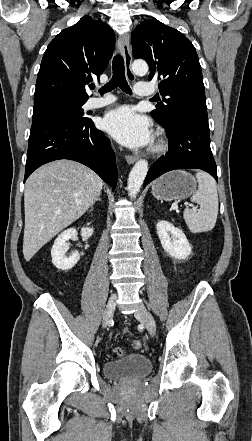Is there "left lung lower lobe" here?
Wrapping results in <instances>:
<instances>
[{
	"label": "left lung lower lobe",
	"mask_w": 252,
	"mask_h": 441,
	"mask_svg": "<svg viewBox=\"0 0 252 441\" xmlns=\"http://www.w3.org/2000/svg\"><path fill=\"white\" fill-rule=\"evenodd\" d=\"M169 150L149 169L144 186L175 169H201L217 181V167L210 148L208 117L189 112L179 115L170 126H163Z\"/></svg>",
	"instance_id": "0a47b994"
}]
</instances>
